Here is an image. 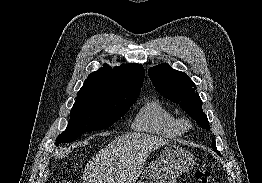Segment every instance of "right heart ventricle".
<instances>
[{"mask_svg":"<svg viewBox=\"0 0 262 183\" xmlns=\"http://www.w3.org/2000/svg\"><path fill=\"white\" fill-rule=\"evenodd\" d=\"M133 128L166 138H177L184 132L180 120L158 100H150L139 109Z\"/></svg>","mask_w":262,"mask_h":183,"instance_id":"right-heart-ventricle-1","label":"right heart ventricle"}]
</instances>
